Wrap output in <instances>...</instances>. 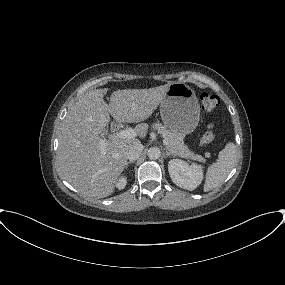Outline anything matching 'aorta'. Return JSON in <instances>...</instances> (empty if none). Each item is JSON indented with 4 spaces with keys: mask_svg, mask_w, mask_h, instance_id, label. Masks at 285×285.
Instances as JSON below:
<instances>
[{
    "mask_svg": "<svg viewBox=\"0 0 285 285\" xmlns=\"http://www.w3.org/2000/svg\"><path fill=\"white\" fill-rule=\"evenodd\" d=\"M148 157L151 160H156L161 156V151L158 147H151L148 149Z\"/></svg>",
    "mask_w": 285,
    "mask_h": 285,
    "instance_id": "obj_1",
    "label": "aorta"
}]
</instances>
